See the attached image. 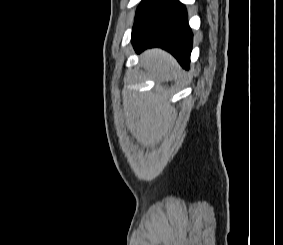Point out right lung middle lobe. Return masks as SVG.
Listing matches in <instances>:
<instances>
[{
	"label": "right lung middle lobe",
	"mask_w": 283,
	"mask_h": 245,
	"mask_svg": "<svg viewBox=\"0 0 283 245\" xmlns=\"http://www.w3.org/2000/svg\"><path fill=\"white\" fill-rule=\"evenodd\" d=\"M154 0H143L141 2V4L139 5L138 7V10H137V15L143 11L145 8H147Z\"/></svg>",
	"instance_id": "dd1d6c3e"
}]
</instances>
